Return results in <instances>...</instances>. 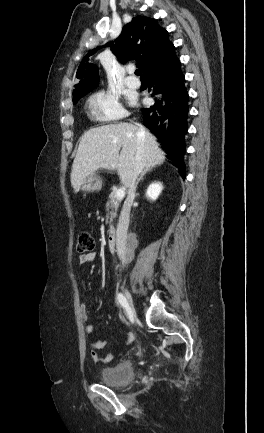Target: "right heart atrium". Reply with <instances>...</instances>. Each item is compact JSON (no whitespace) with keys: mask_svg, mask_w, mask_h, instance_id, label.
<instances>
[{"mask_svg":"<svg viewBox=\"0 0 264 433\" xmlns=\"http://www.w3.org/2000/svg\"><path fill=\"white\" fill-rule=\"evenodd\" d=\"M89 112L93 119L101 122L117 121L126 112L117 95L110 91H97L88 100Z\"/></svg>","mask_w":264,"mask_h":433,"instance_id":"1","label":"right heart atrium"}]
</instances>
